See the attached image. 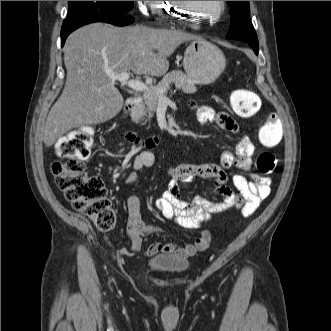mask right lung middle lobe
Returning a JSON list of instances; mask_svg holds the SVG:
<instances>
[{
  "mask_svg": "<svg viewBox=\"0 0 331 331\" xmlns=\"http://www.w3.org/2000/svg\"><path fill=\"white\" fill-rule=\"evenodd\" d=\"M133 8V1H70L61 33L93 21L125 16Z\"/></svg>",
  "mask_w": 331,
  "mask_h": 331,
  "instance_id": "1",
  "label": "right lung middle lobe"
}]
</instances>
